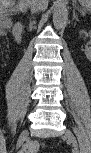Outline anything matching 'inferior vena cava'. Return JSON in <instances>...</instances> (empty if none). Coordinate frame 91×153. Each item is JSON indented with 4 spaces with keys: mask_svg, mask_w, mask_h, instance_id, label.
I'll use <instances>...</instances> for the list:
<instances>
[{
    "mask_svg": "<svg viewBox=\"0 0 91 153\" xmlns=\"http://www.w3.org/2000/svg\"><path fill=\"white\" fill-rule=\"evenodd\" d=\"M48 6L47 0H32L31 7L34 9L35 13L39 11H44Z\"/></svg>",
    "mask_w": 91,
    "mask_h": 153,
    "instance_id": "602c4592",
    "label": "inferior vena cava"
}]
</instances>
